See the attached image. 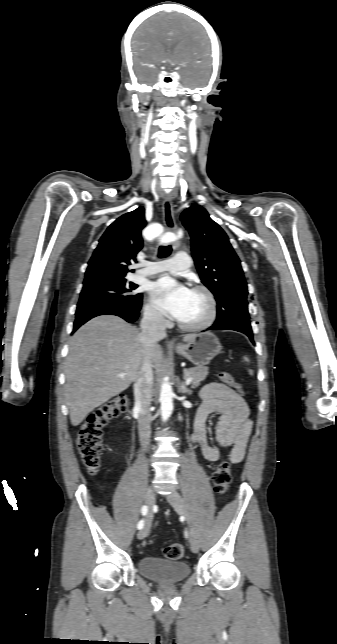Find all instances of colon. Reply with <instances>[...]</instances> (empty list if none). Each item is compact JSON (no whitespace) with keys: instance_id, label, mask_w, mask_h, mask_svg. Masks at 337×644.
Instances as JSON below:
<instances>
[{"instance_id":"colon-1","label":"colon","mask_w":337,"mask_h":644,"mask_svg":"<svg viewBox=\"0 0 337 644\" xmlns=\"http://www.w3.org/2000/svg\"><path fill=\"white\" fill-rule=\"evenodd\" d=\"M219 377L228 386L241 390L240 384L229 372L221 371ZM127 408L128 398L126 395L120 394L95 408L81 423L77 433L76 447L90 474H96L100 468L103 426L111 418L125 413ZM230 466V460L224 459L213 473V482L218 494L224 495L228 491L231 482ZM183 555L184 548L179 543H173L165 549V556L170 560H179Z\"/></svg>"}]
</instances>
